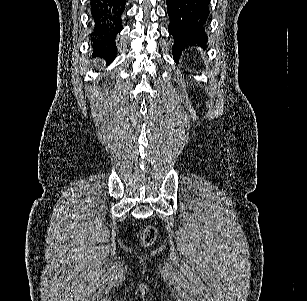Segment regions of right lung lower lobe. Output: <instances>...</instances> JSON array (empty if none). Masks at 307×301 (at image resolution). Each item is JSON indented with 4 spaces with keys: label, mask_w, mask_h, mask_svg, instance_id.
Masks as SVG:
<instances>
[{
    "label": "right lung lower lobe",
    "mask_w": 307,
    "mask_h": 301,
    "mask_svg": "<svg viewBox=\"0 0 307 301\" xmlns=\"http://www.w3.org/2000/svg\"><path fill=\"white\" fill-rule=\"evenodd\" d=\"M125 0H90L89 12L93 32L90 40L94 54L106 57L109 61L116 57L114 43L117 33L122 30L121 16L125 10Z\"/></svg>",
    "instance_id": "right-lung-lower-lobe-1"
}]
</instances>
